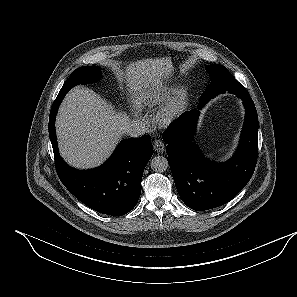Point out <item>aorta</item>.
<instances>
[{"instance_id":"762f6f07","label":"aorta","mask_w":297,"mask_h":297,"mask_svg":"<svg viewBox=\"0 0 297 297\" xmlns=\"http://www.w3.org/2000/svg\"><path fill=\"white\" fill-rule=\"evenodd\" d=\"M151 169L155 172H164L168 169L169 164L167 158L163 156H155L150 163Z\"/></svg>"}]
</instances>
